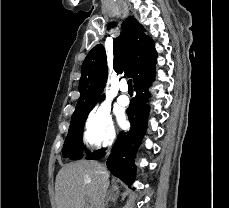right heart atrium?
<instances>
[{"label":"right heart atrium","mask_w":229,"mask_h":208,"mask_svg":"<svg viewBox=\"0 0 229 208\" xmlns=\"http://www.w3.org/2000/svg\"><path fill=\"white\" fill-rule=\"evenodd\" d=\"M82 138L91 149L111 146L115 141V129L110 112L102 106H95L88 113Z\"/></svg>","instance_id":"1"}]
</instances>
